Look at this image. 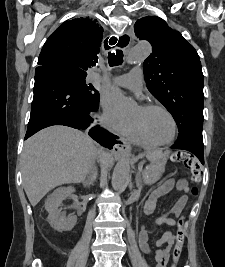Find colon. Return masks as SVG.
<instances>
[{"label": "colon", "mask_w": 225, "mask_h": 267, "mask_svg": "<svg viewBox=\"0 0 225 267\" xmlns=\"http://www.w3.org/2000/svg\"><path fill=\"white\" fill-rule=\"evenodd\" d=\"M172 160L178 163H181L184 167L189 170L190 178L194 183H198L201 179L202 167L199 161L190 153L187 152H176L172 155ZM190 193L193 197L197 196L198 188L193 186L190 190ZM183 216H181L178 220V230L176 233V243L173 250V263L171 267H176L178 263L183 249L184 244V231H183ZM167 261L166 259H161L156 267H166Z\"/></svg>", "instance_id": "5ec220e1"}]
</instances>
